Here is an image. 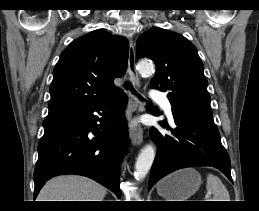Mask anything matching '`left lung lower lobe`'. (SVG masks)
I'll return each mask as SVG.
<instances>
[{"label": "left lung lower lobe", "mask_w": 259, "mask_h": 211, "mask_svg": "<svg viewBox=\"0 0 259 211\" xmlns=\"http://www.w3.org/2000/svg\"><path fill=\"white\" fill-rule=\"evenodd\" d=\"M151 105L148 106V109ZM151 112L157 116V110ZM176 128L166 122H159L172 135L150 129V136L157 144L148 188L167 174L186 167L212 166L221 170L230 181V158L221 144L220 134L212 115L199 111L172 106Z\"/></svg>", "instance_id": "obj_1"}]
</instances>
